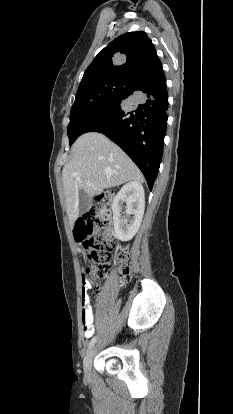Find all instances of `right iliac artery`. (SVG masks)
Instances as JSON below:
<instances>
[{
	"label": "right iliac artery",
	"instance_id": "obj_1",
	"mask_svg": "<svg viewBox=\"0 0 233 414\" xmlns=\"http://www.w3.org/2000/svg\"><path fill=\"white\" fill-rule=\"evenodd\" d=\"M96 340H97L96 336L91 339V341L88 345V350L91 349L94 346V344L96 343Z\"/></svg>",
	"mask_w": 233,
	"mask_h": 414
}]
</instances>
